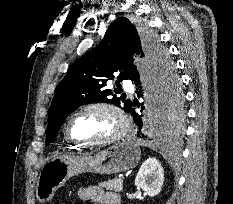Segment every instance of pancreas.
I'll return each instance as SVG.
<instances>
[{"mask_svg":"<svg viewBox=\"0 0 233 204\" xmlns=\"http://www.w3.org/2000/svg\"><path fill=\"white\" fill-rule=\"evenodd\" d=\"M100 187L105 188L108 191L122 192L123 191V180L114 178L99 184Z\"/></svg>","mask_w":233,"mask_h":204,"instance_id":"cf45deb5","label":"pancreas"}]
</instances>
